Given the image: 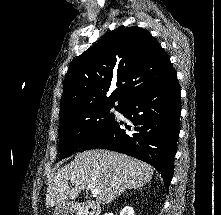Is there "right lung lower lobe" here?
Segmentation results:
<instances>
[{
  "label": "right lung lower lobe",
  "mask_w": 221,
  "mask_h": 215,
  "mask_svg": "<svg viewBox=\"0 0 221 215\" xmlns=\"http://www.w3.org/2000/svg\"><path fill=\"white\" fill-rule=\"evenodd\" d=\"M133 124L129 131L123 122L110 125L88 137L79 147L108 149L151 164L161 174L168 189L174 172V155L180 131V87L173 69L164 79L117 107Z\"/></svg>",
  "instance_id": "1"
}]
</instances>
